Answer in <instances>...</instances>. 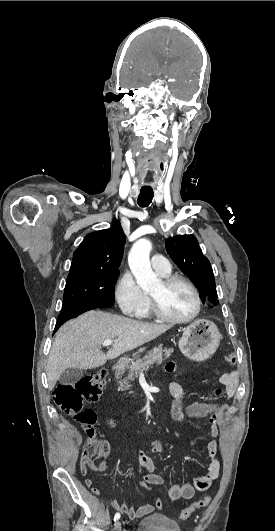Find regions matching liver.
Wrapping results in <instances>:
<instances>
[{
    "label": "liver",
    "instance_id": "obj_1",
    "mask_svg": "<svg viewBox=\"0 0 275 531\" xmlns=\"http://www.w3.org/2000/svg\"><path fill=\"white\" fill-rule=\"evenodd\" d=\"M170 325L142 323L103 311H88L60 327L47 363L49 391L66 369H96L166 333ZM115 341L106 355L104 341Z\"/></svg>",
    "mask_w": 275,
    "mask_h": 531
}]
</instances>
